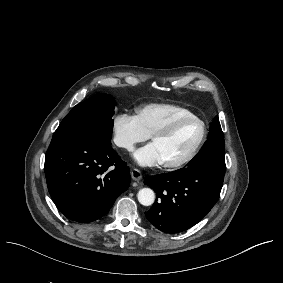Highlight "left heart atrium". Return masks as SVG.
<instances>
[{
  "mask_svg": "<svg viewBox=\"0 0 283 283\" xmlns=\"http://www.w3.org/2000/svg\"><path fill=\"white\" fill-rule=\"evenodd\" d=\"M134 161L143 168H154L165 163V157L156 142H151L133 153Z\"/></svg>",
  "mask_w": 283,
  "mask_h": 283,
  "instance_id": "1",
  "label": "left heart atrium"
}]
</instances>
